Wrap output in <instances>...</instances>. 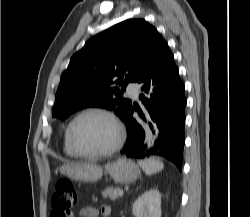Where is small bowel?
Masks as SVG:
<instances>
[{"instance_id": "small-bowel-1", "label": "small bowel", "mask_w": 250, "mask_h": 217, "mask_svg": "<svg viewBox=\"0 0 250 217\" xmlns=\"http://www.w3.org/2000/svg\"><path fill=\"white\" fill-rule=\"evenodd\" d=\"M111 213V209L107 205H101L98 209L94 207H85L79 210L78 217H108Z\"/></svg>"}]
</instances>
